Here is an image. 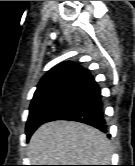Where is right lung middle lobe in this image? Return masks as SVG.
<instances>
[{"instance_id":"obj_1","label":"right lung middle lobe","mask_w":135,"mask_h":166,"mask_svg":"<svg viewBox=\"0 0 135 166\" xmlns=\"http://www.w3.org/2000/svg\"><path fill=\"white\" fill-rule=\"evenodd\" d=\"M72 99L68 87L57 89L32 101L26 124L27 139L43 123L54 120L67 110Z\"/></svg>"}]
</instances>
